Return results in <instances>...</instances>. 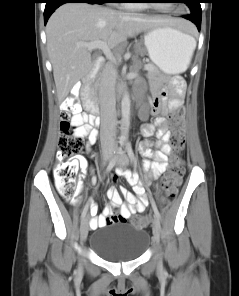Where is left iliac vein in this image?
<instances>
[{"label": "left iliac vein", "mask_w": 239, "mask_h": 296, "mask_svg": "<svg viewBox=\"0 0 239 296\" xmlns=\"http://www.w3.org/2000/svg\"><path fill=\"white\" fill-rule=\"evenodd\" d=\"M129 164V160L125 154H122L120 157L117 158V165L119 167H125ZM153 228V240L156 244L159 243L160 232H161V225L159 219L155 216L152 223Z\"/></svg>", "instance_id": "obj_1"}]
</instances>
